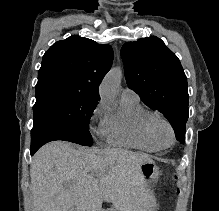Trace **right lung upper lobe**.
<instances>
[{
	"instance_id": "obj_1",
	"label": "right lung upper lobe",
	"mask_w": 219,
	"mask_h": 211,
	"mask_svg": "<svg viewBox=\"0 0 219 211\" xmlns=\"http://www.w3.org/2000/svg\"><path fill=\"white\" fill-rule=\"evenodd\" d=\"M112 61L110 45L78 35L58 41L43 56L36 94L62 91L100 100L99 84Z\"/></svg>"
}]
</instances>
